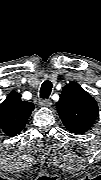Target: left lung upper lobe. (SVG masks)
Masks as SVG:
<instances>
[{
	"label": "left lung upper lobe",
	"mask_w": 101,
	"mask_h": 180,
	"mask_svg": "<svg viewBox=\"0 0 101 180\" xmlns=\"http://www.w3.org/2000/svg\"><path fill=\"white\" fill-rule=\"evenodd\" d=\"M56 106L63 124L74 134L88 131L98 116L95 99L76 82L63 87Z\"/></svg>",
	"instance_id": "5c2ea615"
}]
</instances>
